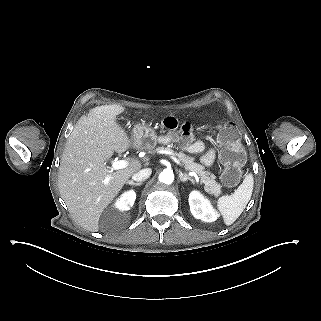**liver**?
<instances>
[{
    "label": "liver",
    "mask_w": 321,
    "mask_h": 321,
    "mask_svg": "<svg viewBox=\"0 0 321 321\" xmlns=\"http://www.w3.org/2000/svg\"><path fill=\"white\" fill-rule=\"evenodd\" d=\"M120 104L94 107L75 124L62 154L58 188L72 219L85 230L99 232L103 211L115 200L125 182L142 168L137 158L111 173L105 162L114 152L122 154L133 147L131 137L119 123L118 116L126 111Z\"/></svg>",
    "instance_id": "liver-1"
}]
</instances>
